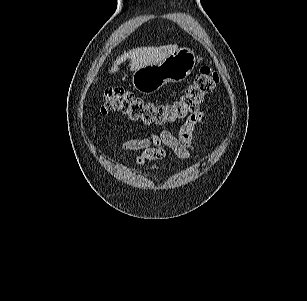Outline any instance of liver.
<instances>
[{"label":"liver","mask_w":307,"mask_h":301,"mask_svg":"<svg viewBox=\"0 0 307 301\" xmlns=\"http://www.w3.org/2000/svg\"><path fill=\"white\" fill-rule=\"evenodd\" d=\"M177 49L178 46L175 44L161 47H140L130 50L114 61L110 73H116L118 71V66L128 58L131 59L130 70L136 71L144 66L162 62Z\"/></svg>","instance_id":"6515ba94"}]
</instances>
